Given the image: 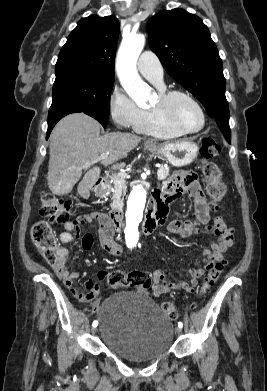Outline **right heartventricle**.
<instances>
[{
    "label": "right heart ventricle",
    "instance_id": "e07e8e85",
    "mask_svg": "<svg viewBox=\"0 0 267 391\" xmlns=\"http://www.w3.org/2000/svg\"><path fill=\"white\" fill-rule=\"evenodd\" d=\"M135 130L142 134L163 139L176 138L182 135L181 132L161 121L153 108L144 111V118Z\"/></svg>",
    "mask_w": 267,
    "mask_h": 391
}]
</instances>
